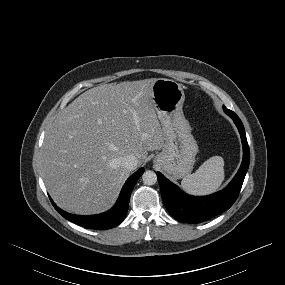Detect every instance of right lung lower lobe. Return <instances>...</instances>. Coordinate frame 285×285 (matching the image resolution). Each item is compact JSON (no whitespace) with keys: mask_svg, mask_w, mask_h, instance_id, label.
I'll return each instance as SVG.
<instances>
[{"mask_svg":"<svg viewBox=\"0 0 285 285\" xmlns=\"http://www.w3.org/2000/svg\"><path fill=\"white\" fill-rule=\"evenodd\" d=\"M144 169L141 168L137 172H135L132 176H130L125 182L120 196L114 205V207L102 214L91 215V216H78L69 214L59 207L52 201L55 209L67 220L76 223L80 226L90 228V229H110L117 225H119L125 218L129 206V200L131 192L139 179V177L143 174Z\"/></svg>","mask_w":285,"mask_h":285,"instance_id":"right-lung-lower-lobe-1","label":"right lung lower lobe"}]
</instances>
